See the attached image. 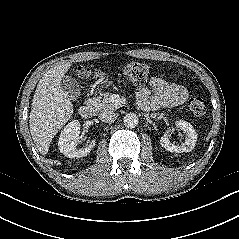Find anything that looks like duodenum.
<instances>
[{
    "mask_svg": "<svg viewBox=\"0 0 239 239\" xmlns=\"http://www.w3.org/2000/svg\"><path fill=\"white\" fill-rule=\"evenodd\" d=\"M79 113L85 119L93 117L95 114V103L93 98L87 99L86 103L80 107Z\"/></svg>",
    "mask_w": 239,
    "mask_h": 239,
    "instance_id": "410a0bca",
    "label": "duodenum"
}]
</instances>
